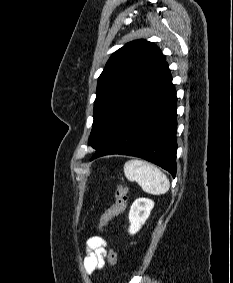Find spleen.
<instances>
[{"label": "spleen", "mask_w": 233, "mask_h": 283, "mask_svg": "<svg viewBox=\"0 0 233 283\" xmlns=\"http://www.w3.org/2000/svg\"><path fill=\"white\" fill-rule=\"evenodd\" d=\"M124 174L128 180L137 182L149 194H165L170 188L167 176L156 166L142 160L127 161Z\"/></svg>", "instance_id": "spleen-1"}]
</instances>
